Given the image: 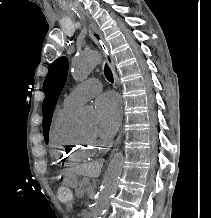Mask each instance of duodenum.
I'll return each mask as SVG.
<instances>
[{
  "label": "duodenum",
  "mask_w": 211,
  "mask_h": 218,
  "mask_svg": "<svg viewBox=\"0 0 211 218\" xmlns=\"http://www.w3.org/2000/svg\"><path fill=\"white\" fill-rule=\"evenodd\" d=\"M82 218H91V212L87 209L82 210L81 212Z\"/></svg>",
  "instance_id": "410a0bca"
}]
</instances>
